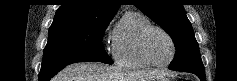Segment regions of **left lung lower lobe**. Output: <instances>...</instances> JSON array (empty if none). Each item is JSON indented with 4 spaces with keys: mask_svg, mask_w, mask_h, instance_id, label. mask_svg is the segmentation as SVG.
Masks as SVG:
<instances>
[{
    "mask_svg": "<svg viewBox=\"0 0 237 81\" xmlns=\"http://www.w3.org/2000/svg\"><path fill=\"white\" fill-rule=\"evenodd\" d=\"M199 77L201 81H205V72L204 73H193Z\"/></svg>",
    "mask_w": 237,
    "mask_h": 81,
    "instance_id": "0a47b994",
    "label": "left lung lower lobe"
}]
</instances>
